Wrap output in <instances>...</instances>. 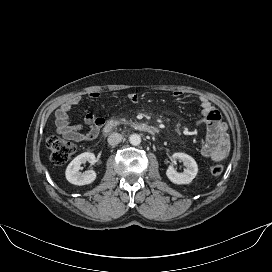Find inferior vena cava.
Wrapping results in <instances>:
<instances>
[{
	"instance_id": "obj_1",
	"label": "inferior vena cava",
	"mask_w": 272,
	"mask_h": 272,
	"mask_svg": "<svg viewBox=\"0 0 272 272\" xmlns=\"http://www.w3.org/2000/svg\"><path fill=\"white\" fill-rule=\"evenodd\" d=\"M122 138L123 137H122L121 134H119V133H112L108 137V143L111 146H115V145H117L118 143L121 142Z\"/></svg>"
}]
</instances>
